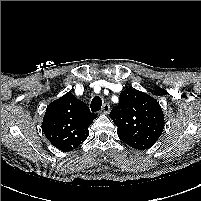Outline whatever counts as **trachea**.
I'll return each mask as SVG.
<instances>
[{
	"label": "trachea",
	"instance_id": "trachea-1",
	"mask_svg": "<svg viewBox=\"0 0 201 201\" xmlns=\"http://www.w3.org/2000/svg\"><path fill=\"white\" fill-rule=\"evenodd\" d=\"M102 106V99L98 96H95L90 104V108L92 110V112H97L101 109Z\"/></svg>",
	"mask_w": 201,
	"mask_h": 201
}]
</instances>
